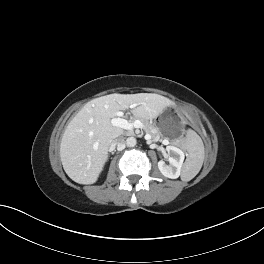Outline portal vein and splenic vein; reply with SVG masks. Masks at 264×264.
Returning a JSON list of instances; mask_svg holds the SVG:
<instances>
[{
  "label": "portal vein and splenic vein",
  "mask_w": 264,
  "mask_h": 264,
  "mask_svg": "<svg viewBox=\"0 0 264 264\" xmlns=\"http://www.w3.org/2000/svg\"><path fill=\"white\" fill-rule=\"evenodd\" d=\"M131 107L133 108L135 107V105H132ZM122 115L123 113L121 111L116 112V116L118 117L111 120L113 126H117L125 130H132L133 128H144V125L140 120H135L133 123H130L127 120L120 118Z\"/></svg>",
  "instance_id": "18ae733b"
}]
</instances>
